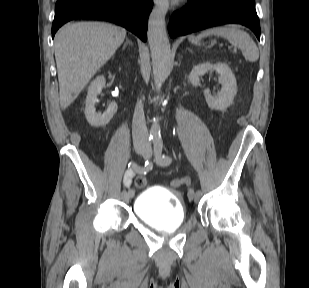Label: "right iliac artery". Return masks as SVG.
Here are the masks:
<instances>
[{
	"mask_svg": "<svg viewBox=\"0 0 309 288\" xmlns=\"http://www.w3.org/2000/svg\"><path fill=\"white\" fill-rule=\"evenodd\" d=\"M144 172H147V171H150L152 169V162L150 160H147L144 164ZM128 193H129V196L130 197H133L134 196V188H128Z\"/></svg>",
	"mask_w": 309,
	"mask_h": 288,
	"instance_id": "right-iliac-artery-1",
	"label": "right iliac artery"
}]
</instances>
